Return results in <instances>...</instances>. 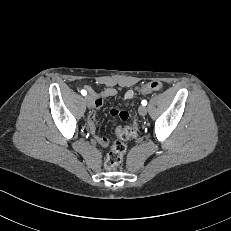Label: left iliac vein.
<instances>
[{"instance_id": "obj_1", "label": "left iliac vein", "mask_w": 231, "mask_h": 231, "mask_svg": "<svg viewBox=\"0 0 231 231\" xmlns=\"http://www.w3.org/2000/svg\"><path fill=\"white\" fill-rule=\"evenodd\" d=\"M138 111L141 116H144L147 114V108L145 106H140Z\"/></svg>"}]
</instances>
